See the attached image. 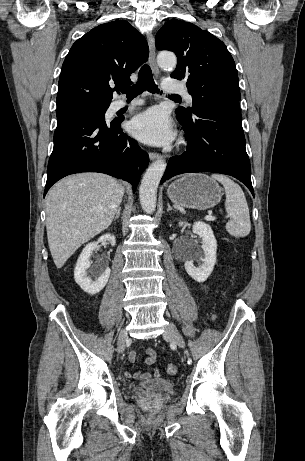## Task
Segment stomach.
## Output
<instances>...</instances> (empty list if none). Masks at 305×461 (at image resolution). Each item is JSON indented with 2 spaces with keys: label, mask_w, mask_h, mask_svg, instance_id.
Wrapping results in <instances>:
<instances>
[{
  "label": "stomach",
  "mask_w": 305,
  "mask_h": 461,
  "mask_svg": "<svg viewBox=\"0 0 305 461\" xmlns=\"http://www.w3.org/2000/svg\"><path fill=\"white\" fill-rule=\"evenodd\" d=\"M167 196L177 205L204 210L220 202L222 189L214 179L205 174H186L169 185Z\"/></svg>",
  "instance_id": "1"
}]
</instances>
